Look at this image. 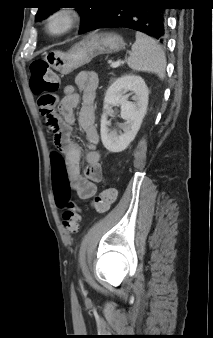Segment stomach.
<instances>
[{
  "instance_id": "stomach-1",
  "label": "stomach",
  "mask_w": 213,
  "mask_h": 338,
  "mask_svg": "<svg viewBox=\"0 0 213 338\" xmlns=\"http://www.w3.org/2000/svg\"><path fill=\"white\" fill-rule=\"evenodd\" d=\"M124 47L123 38L117 34L91 33L73 45L68 52L52 51L45 59L54 70L67 75L89 63L97 55L116 53Z\"/></svg>"
}]
</instances>
